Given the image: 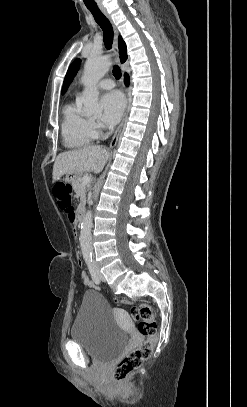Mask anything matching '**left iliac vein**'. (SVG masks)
<instances>
[{
    "mask_svg": "<svg viewBox=\"0 0 247 407\" xmlns=\"http://www.w3.org/2000/svg\"><path fill=\"white\" fill-rule=\"evenodd\" d=\"M93 266H94V268H95V270H96V272H97V274H98L100 280L105 281L104 276H103V275L99 272V270H98V266H97V263H96V262H93Z\"/></svg>",
    "mask_w": 247,
    "mask_h": 407,
    "instance_id": "left-iliac-vein-1",
    "label": "left iliac vein"
}]
</instances>
